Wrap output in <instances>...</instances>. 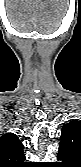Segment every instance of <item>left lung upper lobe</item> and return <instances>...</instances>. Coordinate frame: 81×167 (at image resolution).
<instances>
[{
    "mask_svg": "<svg viewBox=\"0 0 81 167\" xmlns=\"http://www.w3.org/2000/svg\"><path fill=\"white\" fill-rule=\"evenodd\" d=\"M74 166L81 164V121H71L61 131L59 151Z\"/></svg>",
    "mask_w": 81,
    "mask_h": 167,
    "instance_id": "5c2ea615",
    "label": "left lung upper lobe"
}]
</instances>
